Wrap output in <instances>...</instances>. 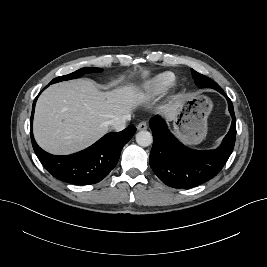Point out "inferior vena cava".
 Returning <instances> with one entry per match:
<instances>
[{
    "instance_id": "obj_1",
    "label": "inferior vena cava",
    "mask_w": 267,
    "mask_h": 267,
    "mask_svg": "<svg viewBox=\"0 0 267 267\" xmlns=\"http://www.w3.org/2000/svg\"><path fill=\"white\" fill-rule=\"evenodd\" d=\"M130 120V115H124L122 117H116L114 119H112L109 122V125L111 126L112 129H114L115 131H121L123 129H125L126 127V122Z\"/></svg>"
}]
</instances>
